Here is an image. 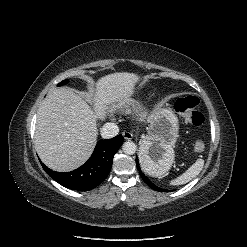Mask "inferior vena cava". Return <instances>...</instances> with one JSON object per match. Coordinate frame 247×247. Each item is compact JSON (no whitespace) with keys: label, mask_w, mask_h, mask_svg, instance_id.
<instances>
[{"label":"inferior vena cava","mask_w":247,"mask_h":247,"mask_svg":"<svg viewBox=\"0 0 247 247\" xmlns=\"http://www.w3.org/2000/svg\"><path fill=\"white\" fill-rule=\"evenodd\" d=\"M119 128L115 123H106L101 128V136L104 139H109L117 136Z\"/></svg>","instance_id":"1"}]
</instances>
